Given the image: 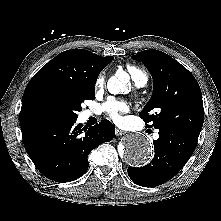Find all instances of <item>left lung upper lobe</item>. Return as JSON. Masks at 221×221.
I'll list each match as a JSON object with an SVG mask.
<instances>
[{"label": "left lung upper lobe", "mask_w": 221, "mask_h": 221, "mask_svg": "<svg viewBox=\"0 0 221 221\" xmlns=\"http://www.w3.org/2000/svg\"><path fill=\"white\" fill-rule=\"evenodd\" d=\"M132 58L142 62L153 77L151 99L139 114L152 123L147 127L174 128L199 137L204 109L201 89L192 73L159 50H145Z\"/></svg>", "instance_id": "obj_1"}]
</instances>
